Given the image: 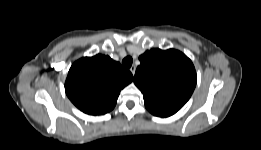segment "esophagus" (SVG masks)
<instances>
[{
    "instance_id": "esophagus-1",
    "label": "esophagus",
    "mask_w": 261,
    "mask_h": 150,
    "mask_svg": "<svg viewBox=\"0 0 261 150\" xmlns=\"http://www.w3.org/2000/svg\"><path fill=\"white\" fill-rule=\"evenodd\" d=\"M129 70H130V72L134 75V74H135V71H136V67H135V66H132Z\"/></svg>"
}]
</instances>
